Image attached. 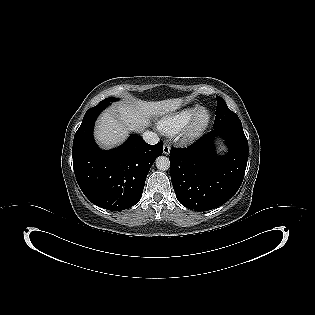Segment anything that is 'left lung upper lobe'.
<instances>
[{"instance_id":"1","label":"left lung upper lobe","mask_w":315,"mask_h":315,"mask_svg":"<svg viewBox=\"0 0 315 315\" xmlns=\"http://www.w3.org/2000/svg\"><path fill=\"white\" fill-rule=\"evenodd\" d=\"M216 98L217 110L213 128L218 129L225 126L242 127V123L239 117L228 108L225 101L219 96H217Z\"/></svg>"}]
</instances>
